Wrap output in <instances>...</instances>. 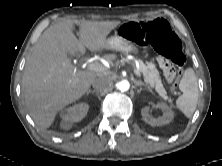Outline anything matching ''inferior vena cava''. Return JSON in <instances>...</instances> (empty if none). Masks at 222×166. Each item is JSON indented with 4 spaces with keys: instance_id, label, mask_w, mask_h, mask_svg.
I'll return each mask as SVG.
<instances>
[{
    "instance_id": "1",
    "label": "inferior vena cava",
    "mask_w": 222,
    "mask_h": 166,
    "mask_svg": "<svg viewBox=\"0 0 222 166\" xmlns=\"http://www.w3.org/2000/svg\"><path fill=\"white\" fill-rule=\"evenodd\" d=\"M111 84V81L107 77H98L92 82L93 88L97 90H106Z\"/></svg>"
}]
</instances>
